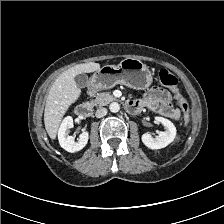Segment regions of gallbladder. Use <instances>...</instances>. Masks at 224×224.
<instances>
[{"label":"gallbladder","mask_w":224,"mask_h":224,"mask_svg":"<svg viewBox=\"0 0 224 224\" xmlns=\"http://www.w3.org/2000/svg\"><path fill=\"white\" fill-rule=\"evenodd\" d=\"M74 80L78 88H85L88 82V77L86 74L81 73L76 75Z\"/></svg>","instance_id":"obj_1"}]
</instances>
